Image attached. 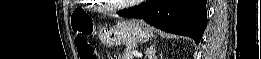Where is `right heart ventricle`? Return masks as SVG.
Wrapping results in <instances>:
<instances>
[{"label":"right heart ventricle","mask_w":261,"mask_h":59,"mask_svg":"<svg viewBox=\"0 0 261 59\" xmlns=\"http://www.w3.org/2000/svg\"><path fill=\"white\" fill-rule=\"evenodd\" d=\"M95 10H103V9H101V7H93Z\"/></svg>","instance_id":"obj_1"}]
</instances>
